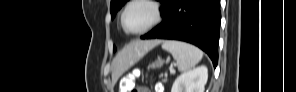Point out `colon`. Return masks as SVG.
<instances>
[{"label":"colon","mask_w":296,"mask_h":92,"mask_svg":"<svg viewBox=\"0 0 296 92\" xmlns=\"http://www.w3.org/2000/svg\"><path fill=\"white\" fill-rule=\"evenodd\" d=\"M137 76L138 73L136 71L124 75L119 82L120 92H149L147 88L135 85Z\"/></svg>","instance_id":"1"}]
</instances>
